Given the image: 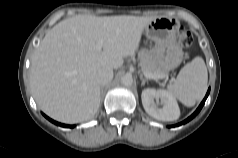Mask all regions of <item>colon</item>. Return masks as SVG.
Returning <instances> with one entry per match:
<instances>
[{"instance_id":"colon-1","label":"colon","mask_w":238,"mask_h":158,"mask_svg":"<svg viewBox=\"0 0 238 158\" xmlns=\"http://www.w3.org/2000/svg\"><path fill=\"white\" fill-rule=\"evenodd\" d=\"M179 42L183 47H189L192 44V36L186 30H181L179 33Z\"/></svg>"}]
</instances>
